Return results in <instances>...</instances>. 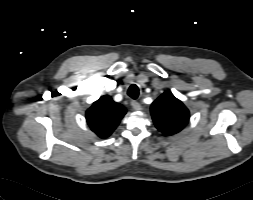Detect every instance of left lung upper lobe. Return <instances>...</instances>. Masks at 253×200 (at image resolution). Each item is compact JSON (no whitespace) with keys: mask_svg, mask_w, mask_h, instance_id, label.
Listing matches in <instances>:
<instances>
[{"mask_svg":"<svg viewBox=\"0 0 253 200\" xmlns=\"http://www.w3.org/2000/svg\"><path fill=\"white\" fill-rule=\"evenodd\" d=\"M153 121L159 131L173 135L189 121V111L171 92H164L151 105Z\"/></svg>","mask_w":253,"mask_h":200,"instance_id":"left-lung-upper-lobe-1","label":"left lung upper lobe"}]
</instances>
